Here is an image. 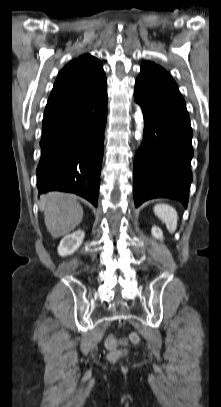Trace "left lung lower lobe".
<instances>
[{"instance_id": "0a47b994", "label": "left lung lower lobe", "mask_w": 221, "mask_h": 407, "mask_svg": "<svg viewBox=\"0 0 221 407\" xmlns=\"http://www.w3.org/2000/svg\"><path fill=\"white\" fill-rule=\"evenodd\" d=\"M134 98L143 109L145 125L143 142L134 160L135 206L164 197L186 208L192 181V129L178 86L137 79Z\"/></svg>"}]
</instances>
